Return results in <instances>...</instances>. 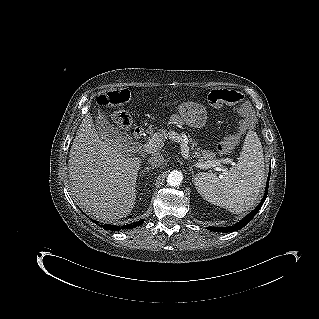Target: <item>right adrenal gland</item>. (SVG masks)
I'll list each match as a JSON object with an SVG mask.
<instances>
[{"mask_svg": "<svg viewBox=\"0 0 319 319\" xmlns=\"http://www.w3.org/2000/svg\"><path fill=\"white\" fill-rule=\"evenodd\" d=\"M152 168L151 167H146L145 169L142 170L140 174H144V172H149Z\"/></svg>", "mask_w": 319, "mask_h": 319, "instance_id": "2a0ac1e0", "label": "right adrenal gland"}]
</instances>
